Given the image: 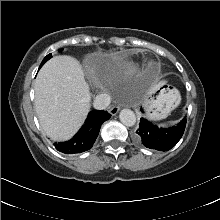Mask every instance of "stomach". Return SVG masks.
I'll return each instance as SVG.
<instances>
[{"label":"stomach","mask_w":220,"mask_h":220,"mask_svg":"<svg viewBox=\"0 0 220 220\" xmlns=\"http://www.w3.org/2000/svg\"><path fill=\"white\" fill-rule=\"evenodd\" d=\"M155 92V97L146 102V108L149 118L161 120L179 105L181 98L178 90L166 83L159 84Z\"/></svg>","instance_id":"0dacf381"}]
</instances>
